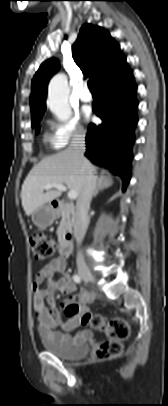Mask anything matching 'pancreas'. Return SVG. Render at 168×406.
<instances>
[{
  "label": "pancreas",
  "mask_w": 168,
  "mask_h": 406,
  "mask_svg": "<svg viewBox=\"0 0 168 406\" xmlns=\"http://www.w3.org/2000/svg\"><path fill=\"white\" fill-rule=\"evenodd\" d=\"M73 207L65 206L61 211V222L57 229V236L62 238L69 230H71L73 225Z\"/></svg>",
  "instance_id": "obj_1"
}]
</instances>
